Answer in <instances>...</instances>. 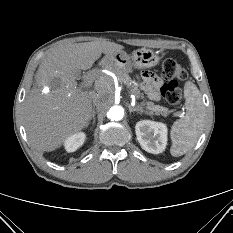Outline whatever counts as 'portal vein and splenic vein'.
I'll use <instances>...</instances> for the list:
<instances>
[{
	"mask_svg": "<svg viewBox=\"0 0 233 233\" xmlns=\"http://www.w3.org/2000/svg\"><path fill=\"white\" fill-rule=\"evenodd\" d=\"M92 83H93V80L91 78H87L85 82L83 83V85L81 86V88H84V89L89 88L92 85ZM131 96L132 98H135L133 94Z\"/></svg>",
	"mask_w": 233,
	"mask_h": 233,
	"instance_id": "portal-vein-and-splenic-vein-1",
	"label": "portal vein and splenic vein"
}]
</instances>
